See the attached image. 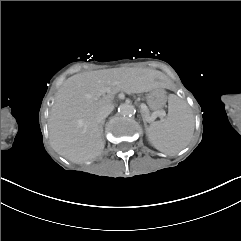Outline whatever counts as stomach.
I'll return each instance as SVG.
<instances>
[{"label": "stomach", "mask_w": 241, "mask_h": 241, "mask_svg": "<svg viewBox=\"0 0 241 241\" xmlns=\"http://www.w3.org/2000/svg\"><path fill=\"white\" fill-rule=\"evenodd\" d=\"M147 104L152 110L162 109L166 104V93L163 89H157L147 95Z\"/></svg>", "instance_id": "stomach-1"}]
</instances>
